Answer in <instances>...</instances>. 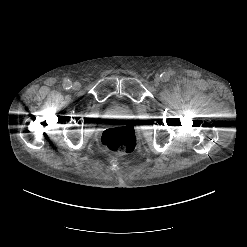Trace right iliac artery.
<instances>
[{
    "label": "right iliac artery",
    "mask_w": 247,
    "mask_h": 247,
    "mask_svg": "<svg viewBox=\"0 0 247 247\" xmlns=\"http://www.w3.org/2000/svg\"><path fill=\"white\" fill-rule=\"evenodd\" d=\"M63 87H64L66 90L70 89V88L72 87L71 81H70V80H65V81L63 82Z\"/></svg>",
    "instance_id": "82829eb1"
}]
</instances>
